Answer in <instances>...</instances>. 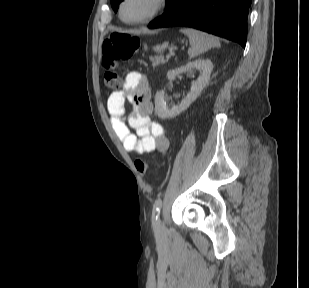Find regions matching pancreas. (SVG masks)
Listing matches in <instances>:
<instances>
[{
	"instance_id": "cf45deb5",
	"label": "pancreas",
	"mask_w": 309,
	"mask_h": 288,
	"mask_svg": "<svg viewBox=\"0 0 309 288\" xmlns=\"http://www.w3.org/2000/svg\"><path fill=\"white\" fill-rule=\"evenodd\" d=\"M151 61H152L153 67L159 66L161 64H165L167 62V60H165L162 55L151 58Z\"/></svg>"
}]
</instances>
